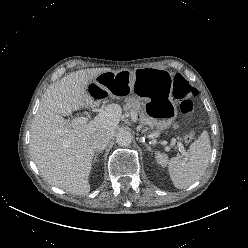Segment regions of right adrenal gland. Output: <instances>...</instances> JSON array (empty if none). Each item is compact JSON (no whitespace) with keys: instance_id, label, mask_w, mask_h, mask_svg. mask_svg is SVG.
<instances>
[{"instance_id":"right-adrenal-gland-1","label":"right adrenal gland","mask_w":248,"mask_h":248,"mask_svg":"<svg viewBox=\"0 0 248 248\" xmlns=\"http://www.w3.org/2000/svg\"><path fill=\"white\" fill-rule=\"evenodd\" d=\"M101 153V151H97L94 155V161L93 162H97V155Z\"/></svg>"}]
</instances>
